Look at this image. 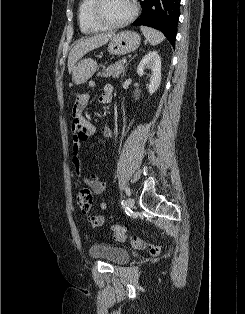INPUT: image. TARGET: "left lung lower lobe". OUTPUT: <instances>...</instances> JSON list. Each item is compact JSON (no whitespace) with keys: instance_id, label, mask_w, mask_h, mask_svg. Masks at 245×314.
Masks as SVG:
<instances>
[{"instance_id":"obj_1","label":"left lung lower lobe","mask_w":245,"mask_h":314,"mask_svg":"<svg viewBox=\"0 0 245 314\" xmlns=\"http://www.w3.org/2000/svg\"><path fill=\"white\" fill-rule=\"evenodd\" d=\"M139 1L142 6V14L133 24L159 29L174 46L180 15V0Z\"/></svg>"}]
</instances>
